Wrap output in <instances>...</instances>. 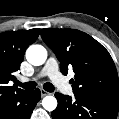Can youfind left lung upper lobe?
Instances as JSON below:
<instances>
[{
  "label": "left lung upper lobe",
  "instance_id": "5c2ea615",
  "mask_svg": "<svg viewBox=\"0 0 119 119\" xmlns=\"http://www.w3.org/2000/svg\"><path fill=\"white\" fill-rule=\"evenodd\" d=\"M41 37L57 56L64 75L73 68V93L119 103L115 64L98 41L75 29L46 28L41 30Z\"/></svg>",
  "mask_w": 119,
  "mask_h": 119
}]
</instances>
